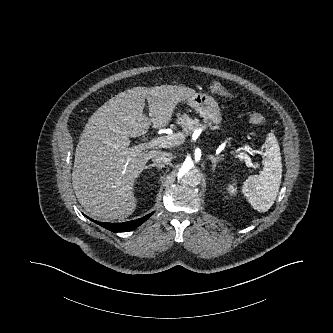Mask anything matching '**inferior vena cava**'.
<instances>
[{"label": "inferior vena cava", "mask_w": 333, "mask_h": 333, "mask_svg": "<svg viewBox=\"0 0 333 333\" xmlns=\"http://www.w3.org/2000/svg\"><path fill=\"white\" fill-rule=\"evenodd\" d=\"M173 156L166 152H157L152 156V160L158 164H168L171 162Z\"/></svg>", "instance_id": "602c4592"}]
</instances>
